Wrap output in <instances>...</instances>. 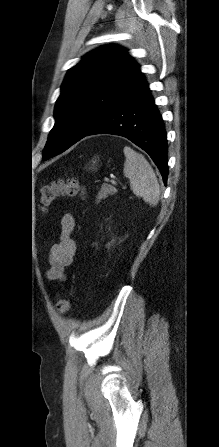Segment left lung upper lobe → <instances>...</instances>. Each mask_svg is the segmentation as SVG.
Returning <instances> with one entry per match:
<instances>
[{
	"label": "left lung upper lobe",
	"instance_id": "5c2ea615",
	"mask_svg": "<svg viewBox=\"0 0 219 447\" xmlns=\"http://www.w3.org/2000/svg\"><path fill=\"white\" fill-rule=\"evenodd\" d=\"M126 50L106 46L87 54L72 67L55 106V125L43 150V160L86 136L140 75Z\"/></svg>",
	"mask_w": 219,
	"mask_h": 447
}]
</instances>
